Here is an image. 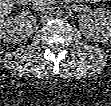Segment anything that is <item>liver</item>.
Returning a JSON list of instances; mask_svg holds the SVG:
<instances>
[{"instance_id":"6515ba94","label":"liver","mask_w":111,"mask_h":106,"mask_svg":"<svg viewBox=\"0 0 111 106\" xmlns=\"http://www.w3.org/2000/svg\"><path fill=\"white\" fill-rule=\"evenodd\" d=\"M17 3L18 1L15 0H1L0 1L1 18H4L14 8V5Z\"/></svg>"}]
</instances>
